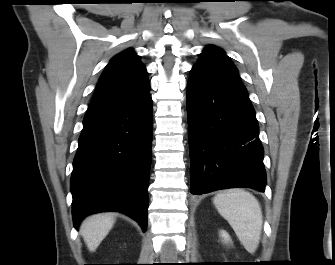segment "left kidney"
Listing matches in <instances>:
<instances>
[{
    "label": "left kidney",
    "mask_w": 335,
    "mask_h": 265,
    "mask_svg": "<svg viewBox=\"0 0 335 265\" xmlns=\"http://www.w3.org/2000/svg\"><path fill=\"white\" fill-rule=\"evenodd\" d=\"M220 233H221V237L224 239L225 242L231 241L230 236L226 231L222 230Z\"/></svg>",
    "instance_id": "5707ae66"
}]
</instances>
